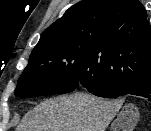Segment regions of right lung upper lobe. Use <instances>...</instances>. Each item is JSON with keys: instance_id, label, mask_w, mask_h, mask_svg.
<instances>
[{"instance_id": "obj_1", "label": "right lung upper lobe", "mask_w": 151, "mask_h": 131, "mask_svg": "<svg viewBox=\"0 0 151 131\" xmlns=\"http://www.w3.org/2000/svg\"><path fill=\"white\" fill-rule=\"evenodd\" d=\"M75 43L106 80H151V26L138 0H82L42 34L35 48Z\"/></svg>"}]
</instances>
